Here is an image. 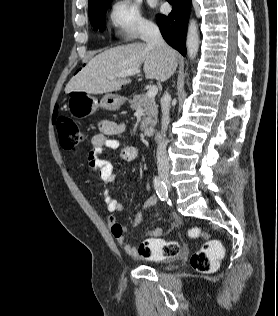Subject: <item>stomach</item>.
Listing matches in <instances>:
<instances>
[{
  "label": "stomach",
  "mask_w": 278,
  "mask_h": 316,
  "mask_svg": "<svg viewBox=\"0 0 278 316\" xmlns=\"http://www.w3.org/2000/svg\"><path fill=\"white\" fill-rule=\"evenodd\" d=\"M124 97L106 94L100 103L91 95L71 92L68 97L67 107L72 117L85 118L93 114L99 107L106 110H117L125 102Z\"/></svg>",
  "instance_id": "obj_1"
}]
</instances>
